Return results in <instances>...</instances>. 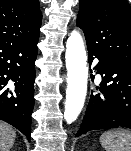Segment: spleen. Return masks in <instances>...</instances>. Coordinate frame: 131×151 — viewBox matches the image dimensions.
<instances>
[{
  "instance_id": "spleen-1",
  "label": "spleen",
  "mask_w": 131,
  "mask_h": 151,
  "mask_svg": "<svg viewBox=\"0 0 131 151\" xmlns=\"http://www.w3.org/2000/svg\"><path fill=\"white\" fill-rule=\"evenodd\" d=\"M99 141L106 151H131V132L128 130L106 131Z\"/></svg>"
}]
</instances>
